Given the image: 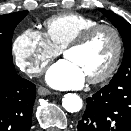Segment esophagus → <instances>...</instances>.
Wrapping results in <instances>:
<instances>
[{
  "instance_id": "obj_1",
  "label": "esophagus",
  "mask_w": 131,
  "mask_h": 131,
  "mask_svg": "<svg viewBox=\"0 0 131 131\" xmlns=\"http://www.w3.org/2000/svg\"><path fill=\"white\" fill-rule=\"evenodd\" d=\"M37 93L40 95V96H46V95H49L51 93V91L45 87H38L37 89Z\"/></svg>"
}]
</instances>
